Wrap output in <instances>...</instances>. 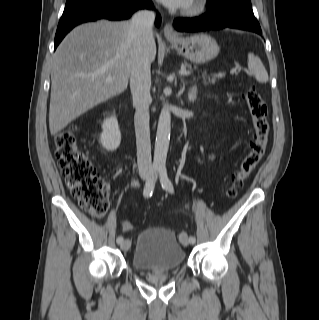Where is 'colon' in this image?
Listing matches in <instances>:
<instances>
[{
  "label": "colon",
  "instance_id": "obj_1",
  "mask_svg": "<svg viewBox=\"0 0 319 320\" xmlns=\"http://www.w3.org/2000/svg\"><path fill=\"white\" fill-rule=\"evenodd\" d=\"M253 126L250 149L233 173L226 197L234 199L237 190L262 160L269 142L268 108L261 95L251 87L245 94ZM58 167L73 197L80 206L95 217H103L108 209V188L96 166L77 143L75 129L68 127L55 137ZM133 225L124 221L122 229L132 231Z\"/></svg>",
  "mask_w": 319,
  "mask_h": 320
}]
</instances>
